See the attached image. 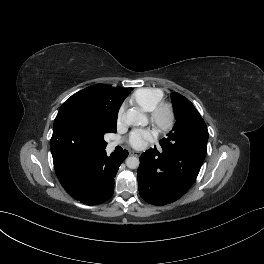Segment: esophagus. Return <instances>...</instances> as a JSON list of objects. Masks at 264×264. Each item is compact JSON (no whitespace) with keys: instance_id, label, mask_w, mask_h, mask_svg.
Masks as SVG:
<instances>
[{"instance_id":"1","label":"esophagus","mask_w":264,"mask_h":264,"mask_svg":"<svg viewBox=\"0 0 264 264\" xmlns=\"http://www.w3.org/2000/svg\"><path fill=\"white\" fill-rule=\"evenodd\" d=\"M130 155H135V156H138V153L137 152H135V151H130V153H129Z\"/></svg>"}]
</instances>
